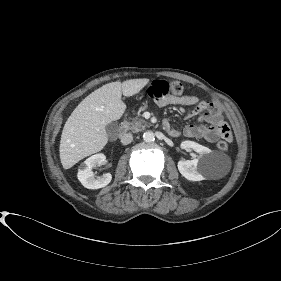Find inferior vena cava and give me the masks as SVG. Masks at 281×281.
<instances>
[{"label":"inferior vena cava","mask_w":281,"mask_h":281,"mask_svg":"<svg viewBox=\"0 0 281 281\" xmlns=\"http://www.w3.org/2000/svg\"><path fill=\"white\" fill-rule=\"evenodd\" d=\"M120 139H121V143H122L123 145H127V144H129V143L132 142L133 136H132L131 133H125V134H123V135L121 136Z\"/></svg>","instance_id":"1"}]
</instances>
